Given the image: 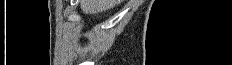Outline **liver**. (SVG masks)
Segmentation results:
<instances>
[{
	"mask_svg": "<svg viewBox=\"0 0 232 65\" xmlns=\"http://www.w3.org/2000/svg\"><path fill=\"white\" fill-rule=\"evenodd\" d=\"M122 0H80V7L85 14H96L111 9Z\"/></svg>",
	"mask_w": 232,
	"mask_h": 65,
	"instance_id": "obj_1",
	"label": "liver"
}]
</instances>
